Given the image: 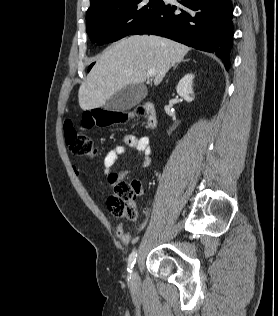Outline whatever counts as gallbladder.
<instances>
[{"label": "gallbladder", "mask_w": 278, "mask_h": 316, "mask_svg": "<svg viewBox=\"0 0 278 316\" xmlns=\"http://www.w3.org/2000/svg\"><path fill=\"white\" fill-rule=\"evenodd\" d=\"M147 95V89L142 84H133L126 86L116 92L104 104L107 111H127L138 105Z\"/></svg>", "instance_id": "gallbladder-1"}]
</instances>
